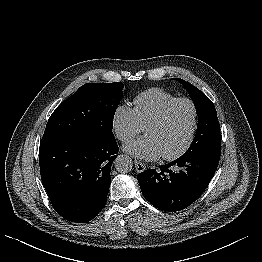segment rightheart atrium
<instances>
[{"label":"right heart atrium","mask_w":262,"mask_h":262,"mask_svg":"<svg viewBox=\"0 0 262 262\" xmlns=\"http://www.w3.org/2000/svg\"><path fill=\"white\" fill-rule=\"evenodd\" d=\"M111 125L115 136L121 142H129L135 138L143 128L133 108L124 104L117 106L114 110Z\"/></svg>","instance_id":"d8ad5b80"}]
</instances>
